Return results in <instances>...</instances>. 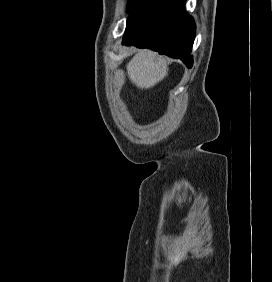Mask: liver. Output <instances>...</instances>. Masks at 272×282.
<instances>
[{
	"label": "liver",
	"mask_w": 272,
	"mask_h": 282,
	"mask_svg": "<svg viewBox=\"0 0 272 282\" xmlns=\"http://www.w3.org/2000/svg\"><path fill=\"white\" fill-rule=\"evenodd\" d=\"M128 77L140 89H149L162 81L168 74L166 58L144 49L127 64Z\"/></svg>",
	"instance_id": "1"
}]
</instances>
